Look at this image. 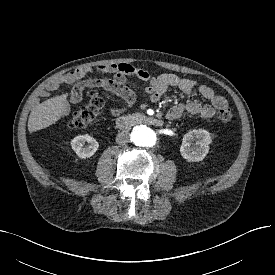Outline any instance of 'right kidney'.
<instances>
[{
  "instance_id": "1",
  "label": "right kidney",
  "mask_w": 275,
  "mask_h": 275,
  "mask_svg": "<svg viewBox=\"0 0 275 275\" xmlns=\"http://www.w3.org/2000/svg\"><path fill=\"white\" fill-rule=\"evenodd\" d=\"M88 143V146H84ZM72 149L80 158H89L98 150L99 144L95 138L88 134L76 136L71 141Z\"/></svg>"
}]
</instances>
